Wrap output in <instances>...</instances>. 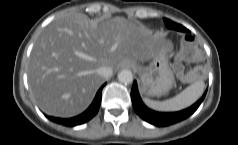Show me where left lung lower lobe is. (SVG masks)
Returning a JSON list of instances; mask_svg holds the SVG:
<instances>
[{
	"label": "left lung lower lobe",
	"mask_w": 238,
	"mask_h": 145,
	"mask_svg": "<svg viewBox=\"0 0 238 145\" xmlns=\"http://www.w3.org/2000/svg\"><path fill=\"white\" fill-rule=\"evenodd\" d=\"M176 27H177L176 30L178 31L189 32V30H187L182 25L178 24ZM205 95H206V92L194 105H192L191 107L185 110H182L180 112H174V113H161V112H155L144 105V103L142 102L139 96L136 81H134L133 87L131 90V99H132L135 112L146 122H149L150 124H153L158 127L169 126L188 118L197 110L199 105L204 100Z\"/></svg>",
	"instance_id": "1"
}]
</instances>
